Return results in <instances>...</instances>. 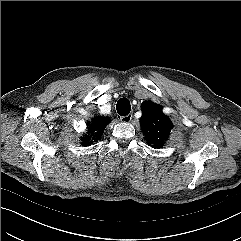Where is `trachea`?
<instances>
[{
	"label": "trachea",
	"instance_id": "3493384b",
	"mask_svg": "<svg viewBox=\"0 0 241 241\" xmlns=\"http://www.w3.org/2000/svg\"><path fill=\"white\" fill-rule=\"evenodd\" d=\"M116 109L119 115L121 116L128 115L131 111V105L129 100L126 98L119 99L116 105Z\"/></svg>",
	"mask_w": 241,
	"mask_h": 241
}]
</instances>
